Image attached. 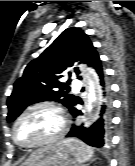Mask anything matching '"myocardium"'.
Masks as SVG:
<instances>
[{"instance_id": "f54148a6", "label": "myocardium", "mask_w": 135, "mask_h": 166, "mask_svg": "<svg viewBox=\"0 0 135 166\" xmlns=\"http://www.w3.org/2000/svg\"><path fill=\"white\" fill-rule=\"evenodd\" d=\"M40 108H49V109H52L58 113L59 118H60L59 130L52 137L45 139V140H42V141H39V142H36V143L23 144V143L19 142L16 138V128H17L19 122L29 112L36 110V109H40ZM66 128H67V118H66L64 109L60 105H58L57 103L51 102V101L38 102V103H35L33 105L28 106L15 119V121L13 123V127H12V139H13L14 143L16 145H18L19 147L27 148V149L38 148V147H42V146L51 145V144L59 141L63 137V135L65 134Z\"/></svg>"}]
</instances>
